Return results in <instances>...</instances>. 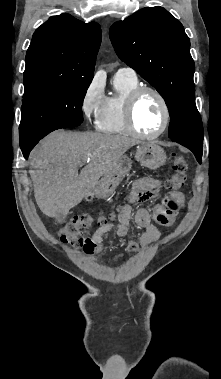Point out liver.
<instances>
[{
  "instance_id": "obj_1",
  "label": "liver",
  "mask_w": 221,
  "mask_h": 379,
  "mask_svg": "<svg viewBox=\"0 0 221 379\" xmlns=\"http://www.w3.org/2000/svg\"><path fill=\"white\" fill-rule=\"evenodd\" d=\"M137 140L93 132L55 131L30 154V176L38 207L48 217H64L87 197ZM90 158L80 174L79 167Z\"/></svg>"
}]
</instances>
